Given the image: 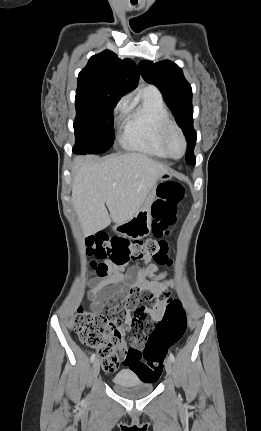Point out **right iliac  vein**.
Returning a JSON list of instances; mask_svg holds the SVG:
<instances>
[{
    "label": "right iliac vein",
    "instance_id": "63e3f726",
    "mask_svg": "<svg viewBox=\"0 0 261 431\" xmlns=\"http://www.w3.org/2000/svg\"><path fill=\"white\" fill-rule=\"evenodd\" d=\"M100 371V361L99 359H95L92 366V374L93 378L96 379Z\"/></svg>",
    "mask_w": 261,
    "mask_h": 431
}]
</instances>
